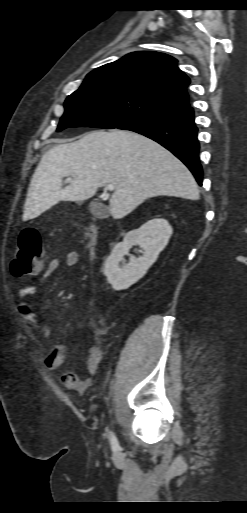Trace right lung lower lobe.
<instances>
[{"label":"right lung lower lobe","instance_id":"98d812e1","mask_svg":"<svg viewBox=\"0 0 247 513\" xmlns=\"http://www.w3.org/2000/svg\"><path fill=\"white\" fill-rule=\"evenodd\" d=\"M119 129L140 133L158 142L178 157L202 185V167L199 162V142L194 111L189 105L164 111L124 124Z\"/></svg>","mask_w":247,"mask_h":513}]
</instances>
